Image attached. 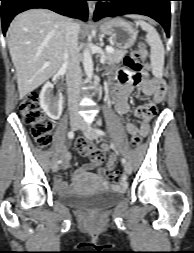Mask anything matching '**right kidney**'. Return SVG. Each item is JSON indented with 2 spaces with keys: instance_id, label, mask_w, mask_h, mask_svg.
<instances>
[{
  "instance_id": "obj_1",
  "label": "right kidney",
  "mask_w": 194,
  "mask_h": 253,
  "mask_svg": "<svg viewBox=\"0 0 194 253\" xmlns=\"http://www.w3.org/2000/svg\"><path fill=\"white\" fill-rule=\"evenodd\" d=\"M53 84L47 82L40 93V106L45 114L53 120L60 118L63 109V96L61 93L53 94Z\"/></svg>"
}]
</instances>
